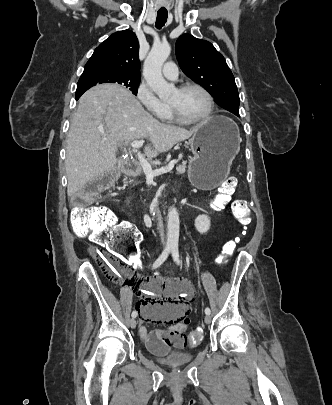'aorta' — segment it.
<instances>
[{
  "instance_id": "aorta-1",
  "label": "aorta",
  "mask_w": 332,
  "mask_h": 405,
  "mask_svg": "<svg viewBox=\"0 0 332 405\" xmlns=\"http://www.w3.org/2000/svg\"><path fill=\"white\" fill-rule=\"evenodd\" d=\"M171 52L168 43L154 44L144 61L143 76L149 87L160 97L168 95L173 85L169 84L162 75V66ZM179 240V215L175 207L168 213L167 245L177 246Z\"/></svg>"
}]
</instances>
